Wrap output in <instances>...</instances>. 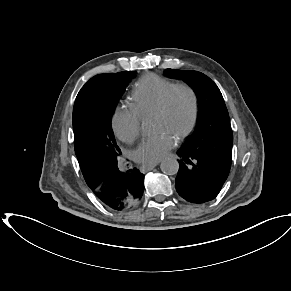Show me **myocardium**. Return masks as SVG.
<instances>
[{"mask_svg":"<svg viewBox=\"0 0 291 291\" xmlns=\"http://www.w3.org/2000/svg\"><path fill=\"white\" fill-rule=\"evenodd\" d=\"M179 91L185 92L191 101V119L188 125L176 134L177 140H183L190 136L196 129L199 116H200V102L199 97L195 89L187 83H177L174 84L165 94L161 105L153 113L154 116L158 117H168L173 109L175 94Z\"/></svg>","mask_w":291,"mask_h":291,"instance_id":"myocardium-1","label":"myocardium"}]
</instances>
